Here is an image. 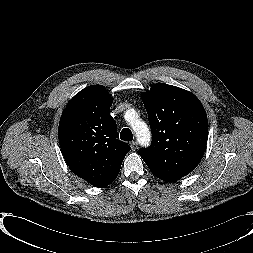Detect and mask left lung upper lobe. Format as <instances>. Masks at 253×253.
<instances>
[{"label": "left lung upper lobe", "instance_id": "left-lung-upper-lobe-1", "mask_svg": "<svg viewBox=\"0 0 253 253\" xmlns=\"http://www.w3.org/2000/svg\"><path fill=\"white\" fill-rule=\"evenodd\" d=\"M153 141L139 150L155 176L183 177L199 164L208 138L203 105L191 92L157 83L142 95Z\"/></svg>", "mask_w": 253, "mask_h": 253}]
</instances>
